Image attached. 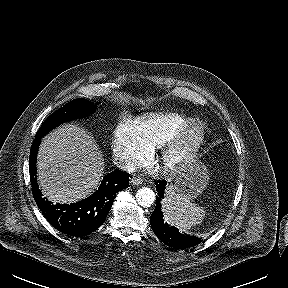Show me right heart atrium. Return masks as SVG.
I'll list each match as a JSON object with an SVG mask.
<instances>
[{"mask_svg":"<svg viewBox=\"0 0 288 288\" xmlns=\"http://www.w3.org/2000/svg\"><path fill=\"white\" fill-rule=\"evenodd\" d=\"M113 152L120 165L130 170L145 165L152 156L153 148L143 137L139 124L125 120L114 131Z\"/></svg>","mask_w":288,"mask_h":288,"instance_id":"d8ad5b80","label":"right heart atrium"}]
</instances>
